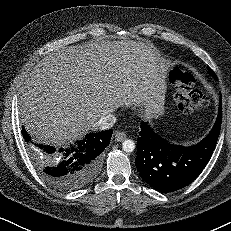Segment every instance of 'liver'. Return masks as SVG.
I'll return each instance as SVG.
<instances>
[{
  "label": "liver",
  "mask_w": 231,
  "mask_h": 231,
  "mask_svg": "<svg viewBox=\"0 0 231 231\" xmlns=\"http://www.w3.org/2000/svg\"><path fill=\"white\" fill-rule=\"evenodd\" d=\"M168 66L149 43L122 40L69 46L50 53L21 87L20 115L30 135L65 145L123 106L163 114Z\"/></svg>",
  "instance_id": "obj_1"
}]
</instances>
